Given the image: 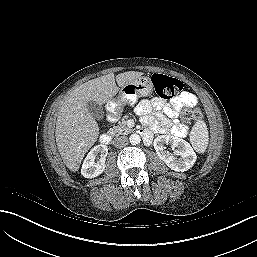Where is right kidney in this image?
<instances>
[{
    "mask_svg": "<svg viewBox=\"0 0 257 257\" xmlns=\"http://www.w3.org/2000/svg\"><path fill=\"white\" fill-rule=\"evenodd\" d=\"M108 148L106 145L100 144L94 146L84 159L81 168V174L86 178H94L103 173L105 169V156H107ZM98 154L101 158L95 162Z\"/></svg>",
    "mask_w": 257,
    "mask_h": 257,
    "instance_id": "1",
    "label": "right kidney"
}]
</instances>
